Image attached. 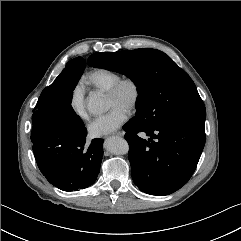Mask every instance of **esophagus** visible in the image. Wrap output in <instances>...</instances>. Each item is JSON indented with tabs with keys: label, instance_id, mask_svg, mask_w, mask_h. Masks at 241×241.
Listing matches in <instances>:
<instances>
[{
	"label": "esophagus",
	"instance_id": "34e87169",
	"mask_svg": "<svg viewBox=\"0 0 241 241\" xmlns=\"http://www.w3.org/2000/svg\"><path fill=\"white\" fill-rule=\"evenodd\" d=\"M113 135H115V136H123V133L122 132H116Z\"/></svg>",
	"mask_w": 241,
	"mask_h": 241
}]
</instances>
